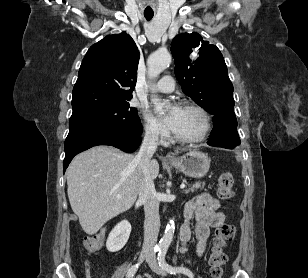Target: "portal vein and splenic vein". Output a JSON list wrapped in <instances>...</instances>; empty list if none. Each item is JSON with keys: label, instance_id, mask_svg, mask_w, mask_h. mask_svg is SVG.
<instances>
[{"label": "portal vein and splenic vein", "instance_id": "1", "mask_svg": "<svg viewBox=\"0 0 308 278\" xmlns=\"http://www.w3.org/2000/svg\"><path fill=\"white\" fill-rule=\"evenodd\" d=\"M180 188H181V189H185V188H186V185H185V184H181V185H180ZM120 198H121V196L118 195V196H117V199H120Z\"/></svg>", "mask_w": 308, "mask_h": 278}]
</instances>
